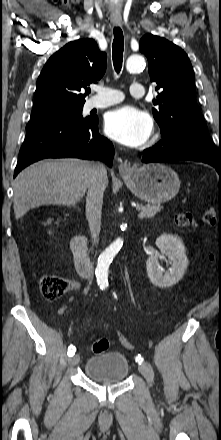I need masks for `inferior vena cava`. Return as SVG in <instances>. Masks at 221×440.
I'll use <instances>...</instances> for the list:
<instances>
[{
  "mask_svg": "<svg viewBox=\"0 0 221 440\" xmlns=\"http://www.w3.org/2000/svg\"><path fill=\"white\" fill-rule=\"evenodd\" d=\"M107 180L105 165L100 162L93 163L86 197V218L89 223L93 245H96L99 241L103 193Z\"/></svg>",
  "mask_w": 221,
  "mask_h": 440,
  "instance_id": "1",
  "label": "inferior vena cava"
}]
</instances>
